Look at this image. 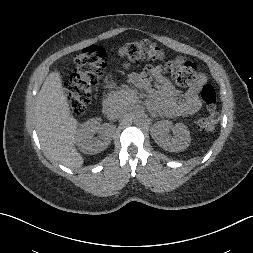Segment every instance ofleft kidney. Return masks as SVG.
Returning a JSON list of instances; mask_svg holds the SVG:
<instances>
[{
    "instance_id": "left-kidney-1",
    "label": "left kidney",
    "mask_w": 253,
    "mask_h": 253,
    "mask_svg": "<svg viewBox=\"0 0 253 253\" xmlns=\"http://www.w3.org/2000/svg\"><path fill=\"white\" fill-rule=\"evenodd\" d=\"M152 137L160 147L170 152L183 151L191 142L190 132L184 124L177 123L173 126L169 121L155 124Z\"/></svg>"
}]
</instances>
